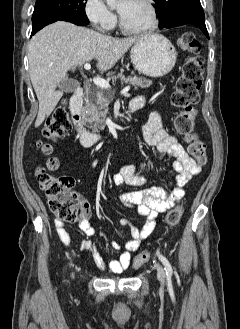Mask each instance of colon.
I'll return each instance as SVG.
<instances>
[{"label":"colon","instance_id":"colon-1","mask_svg":"<svg viewBox=\"0 0 240 329\" xmlns=\"http://www.w3.org/2000/svg\"><path fill=\"white\" fill-rule=\"evenodd\" d=\"M180 48L189 54L183 64L182 74L177 80L175 91L172 95L174 106L182 108L176 118L175 126L179 134L183 135L187 143L190 155L199 165L206 162V148L196 131V112L193 106L199 101V91L203 83V61L199 56L201 43L193 33L186 32L180 37ZM69 112L66 99H62L49 116L43 136L49 140H55L64 136L69 129ZM38 146L48 152L50 145L40 141ZM47 165L50 170L56 171L59 162L56 158H49ZM40 188L45 193L48 206L60 222H75L78 218V208L81 203L79 193L74 189V180L63 175H52L44 170L37 173ZM183 214L181 207L172 208L166 215V224L175 226L179 223ZM147 251L140 253L132 263L134 269L140 268L149 260Z\"/></svg>","mask_w":240,"mask_h":329}]
</instances>
